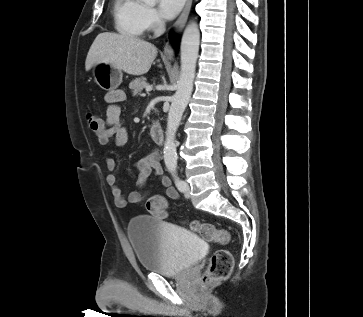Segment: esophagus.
Here are the masks:
<instances>
[{
  "mask_svg": "<svg viewBox=\"0 0 363 317\" xmlns=\"http://www.w3.org/2000/svg\"><path fill=\"white\" fill-rule=\"evenodd\" d=\"M191 5H192V0H187L181 15L173 25L174 39L172 41H170V39L167 40L163 51L164 55L168 58H172L175 55V50H174L175 39L176 37H178L179 33L182 31L183 27L185 26V23L190 13Z\"/></svg>",
  "mask_w": 363,
  "mask_h": 317,
  "instance_id": "1",
  "label": "esophagus"
}]
</instances>
